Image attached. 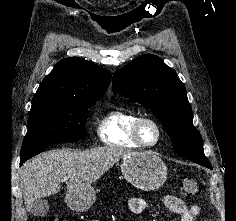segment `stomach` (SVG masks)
Wrapping results in <instances>:
<instances>
[{"label": "stomach", "instance_id": "stomach-1", "mask_svg": "<svg viewBox=\"0 0 236 221\" xmlns=\"http://www.w3.org/2000/svg\"><path fill=\"white\" fill-rule=\"evenodd\" d=\"M121 172L134 187L143 191L160 188L167 178V168L160 157L151 151L132 152L123 157ZM96 199L93 187L68 191L65 201L76 211L88 210Z\"/></svg>", "mask_w": 236, "mask_h": 221}]
</instances>
